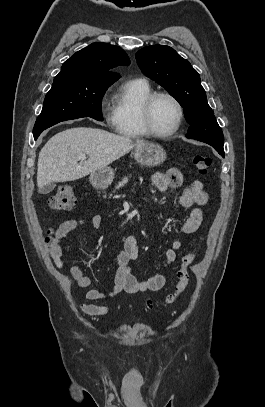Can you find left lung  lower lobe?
Listing matches in <instances>:
<instances>
[{
  "mask_svg": "<svg viewBox=\"0 0 265 407\" xmlns=\"http://www.w3.org/2000/svg\"><path fill=\"white\" fill-rule=\"evenodd\" d=\"M215 148V150L221 155V156H225V154H224V152L222 151V150H220L219 148H217V147H214Z\"/></svg>",
  "mask_w": 265,
  "mask_h": 407,
  "instance_id": "obj_1",
  "label": "left lung lower lobe"
}]
</instances>
